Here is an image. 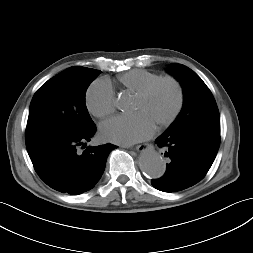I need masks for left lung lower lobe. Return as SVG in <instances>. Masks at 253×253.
<instances>
[{
  "mask_svg": "<svg viewBox=\"0 0 253 253\" xmlns=\"http://www.w3.org/2000/svg\"><path fill=\"white\" fill-rule=\"evenodd\" d=\"M169 158L167 169L151 181L163 192H176L195 185L210 169L220 145V123L200 120L177 128H168L156 139Z\"/></svg>",
  "mask_w": 253,
  "mask_h": 253,
  "instance_id": "0a47b994",
  "label": "left lung lower lobe"
}]
</instances>
